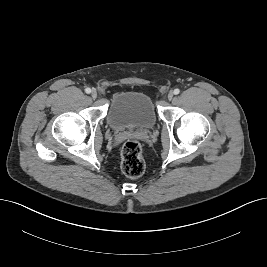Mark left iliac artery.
<instances>
[{"label":"left iliac artery","mask_w":267,"mask_h":267,"mask_svg":"<svg viewBox=\"0 0 267 267\" xmlns=\"http://www.w3.org/2000/svg\"><path fill=\"white\" fill-rule=\"evenodd\" d=\"M175 95L179 94L180 93V90L179 89H174V92H173Z\"/></svg>","instance_id":"left-iliac-artery-1"}]
</instances>
